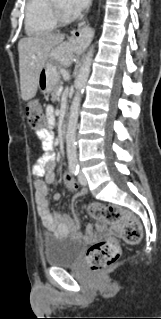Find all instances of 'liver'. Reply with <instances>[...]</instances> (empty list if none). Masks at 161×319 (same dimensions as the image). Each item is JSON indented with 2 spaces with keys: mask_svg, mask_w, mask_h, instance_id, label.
Returning <instances> with one entry per match:
<instances>
[{
  "mask_svg": "<svg viewBox=\"0 0 161 319\" xmlns=\"http://www.w3.org/2000/svg\"><path fill=\"white\" fill-rule=\"evenodd\" d=\"M64 40L62 34H42L22 38L18 43L21 97L32 99L37 92L39 73L45 66L50 51ZM72 51V49H71ZM71 51L69 61L71 63Z\"/></svg>",
  "mask_w": 161,
  "mask_h": 319,
  "instance_id": "obj_1",
  "label": "liver"
}]
</instances>
